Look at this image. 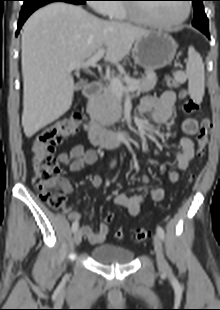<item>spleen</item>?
I'll return each mask as SVG.
<instances>
[{"instance_id": "obj_1", "label": "spleen", "mask_w": 220, "mask_h": 310, "mask_svg": "<svg viewBox=\"0 0 220 310\" xmlns=\"http://www.w3.org/2000/svg\"><path fill=\"white\" fill-rule=\"evenodd\" d=\"M186 75L188 77L189 94L194 101L200 103L204 95L205 72L202 58L194 47L188 49Z\"/></svg>"}]
</instances>
